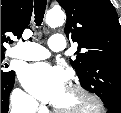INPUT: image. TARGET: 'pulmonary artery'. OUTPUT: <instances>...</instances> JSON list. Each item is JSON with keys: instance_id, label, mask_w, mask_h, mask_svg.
<instances>
[{"instance_id": "e3ab8cb5", "label": "pulmonary artery", "mask_w": 121, "mask_h": 113, "mask_svg": "<svg viewBox=\"0 0 121 113\" xmlns=\"http://www.w3.org/2000/svg\"><path fill=\"white\" fill-rule=\"evenodd\" d=\"M64 36L54 34L48 40V48L35 42H24L16 45L10 52L12 57L24 61H36L47 59L51 52H59L64 49Z\"/></svg>"}]
</instances>
